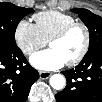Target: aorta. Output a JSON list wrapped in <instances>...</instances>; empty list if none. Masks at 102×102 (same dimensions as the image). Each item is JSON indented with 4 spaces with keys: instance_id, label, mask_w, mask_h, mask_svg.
<instances>
[{
    "instance_id": "762f6f07",
    "label": "aorta",
    "mask_w": 102,
    "mask_h": 102,
    "mask_svg": "<svg viewBox=\"0 0 102 102\" xmlns=\"http://www.w3.org/2000/svg\"><path fill=\"white\" fill-rule=\"evenodd\" d=\"M65 78L61 74H54L50 77V85L55 90H62L65 87Z\"/></svg>"
}]
</instances>
